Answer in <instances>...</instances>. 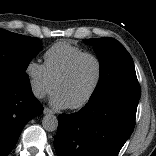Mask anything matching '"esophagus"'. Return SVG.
Wrapping results in <instances>:
<instances>
[{
    "mask_svg": "<svg viewBox=\"0 0 156 156\" xmlns=\"http://www.w3.org/2000/svg\"><path fill=\"white\" fill-rule=\"evenodd\" d=\"M43 113L44 114H53L54 112L51 109L45 107L44 110H43Z\"/></svg>",
    "mask_w": 156,
    "mask_h": 156,
    "instance_id": "34e87169",
    "label": "esophagus"
}]
</instances>
